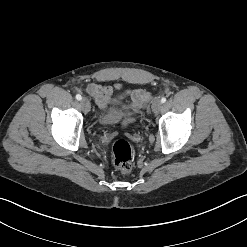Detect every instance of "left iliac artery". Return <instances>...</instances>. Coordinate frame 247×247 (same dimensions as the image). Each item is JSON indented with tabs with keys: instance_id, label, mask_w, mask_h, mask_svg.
Instances as JSON below:
<instances>
[{
	"instance_id": "obj_1",
	"label": "left iliac artery",
	"mask_w": 247,
	"mask_h": 247,
	"mask_svg": "<svg viewBox=\"0 0 247 247\" xmlns=\"http://www.w3.org/2000/svg\"><path fill=\"white\" fill-rule=\"evenodd\" d=\"M161 102H162V103H165V102H166V98L163 97V98L161 99Z\"/></svg>"
}]
</instances>
